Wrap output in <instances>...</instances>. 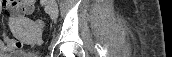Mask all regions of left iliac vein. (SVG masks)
<instances>
[{"label": "left iliac vein", "instance_id": "1", "mask_svg": "<svg viewBox=\"0 0 172 57\" xmlns=\"http://www.w3.org/2000/svg\"><path fill=\"white\" fill-rule=\"evenodd\" d=\"M47 12L55 20L58 16V6L55 0H48L46 4Z\"/></svg>", "mask_w": 172, "mask_h": 57}]
</instances>
